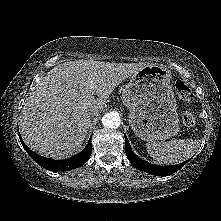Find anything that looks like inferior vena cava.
Wrapping results in <instances>:
<instances>
[{"label": "inferior vena cava", "instance_id": "1", "mask_svg": "<svg viewBox=\"0 0 221 221\" xmlns=\"http://www.w3.org/2000/svg\"><path fill=\"white\" fill-rule=\"evenodd\" d=\"M99 114V110L98 109H92L91 111H90V115L91 116H96V115H98Z\"/></svg>", "mask_w": 221, "mask_h": 221}]
</instances>
